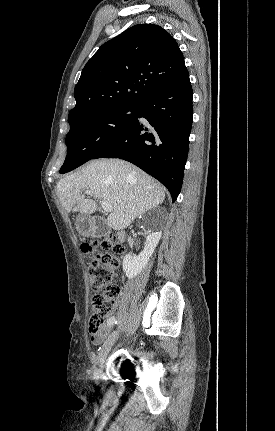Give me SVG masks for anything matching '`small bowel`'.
<instances>
[{
  "instance_id": "c3829d8e",
  "label": "small bowel",
  "mask_w": 275,
  "mask_h": 431,
  "mask_svg": "<svg viewBox=\"0 0 275 431\" xmlns=\"http://www.w3.org/2000/svg\"><path fill=\"white\" fill-rule=\"evenodd\" d=\"M107 332L108 330L106 329L97 336H94V337L91 336V342L95 345L100 344L102 340L105 338V336L107 335Z\"/></svg>"
}]
</instances>
